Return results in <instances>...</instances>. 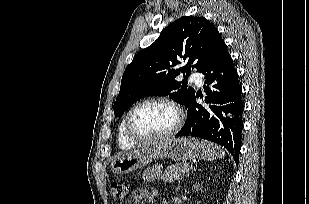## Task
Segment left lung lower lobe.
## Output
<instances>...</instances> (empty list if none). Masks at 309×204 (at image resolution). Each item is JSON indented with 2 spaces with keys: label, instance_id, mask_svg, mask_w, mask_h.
<instances>
[{
  "label": "left lung lower lobe",
  "instance_id": "obj_1",
  "mask_svg": "<svg viewBox=\"0 0 309 204\" xmlns=\"http://www.w3.org/2000/svg\"><path fill=\"white\" fill-rule=\"evenodd\" d=\"M203 74L206 79L205 102L209 105L203 107L197 104L198 95H194L187 107L186 124L177 136L200 137L220 144L231 153L238 164L244 105L242 88L227 46ZM210 84L212 87L208 88L206 85Z\"/></svg>",
  "mask_w": 309,
  "mask_h": 204
}]
</instances>
